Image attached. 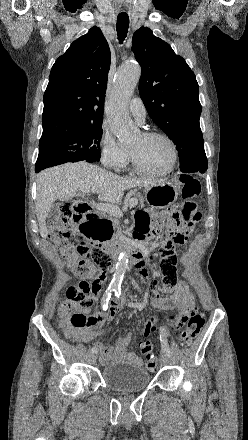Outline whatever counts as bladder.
Returning a JSON list of instances; mask_svg holds the SVG:
<instances>
[{
    "mask_svg": "<svg viewBox=\"0 0 248 440\" xmlns=\"http://www.w3.org/2000/svg\"><path fill=\"white\" fill-rule=\"evenodd\" d=\"M101 378L108 388L120 392L142 390L151 381L147 368L126 360L105 365L101 370Z\"/></svg>",
    "mask_w": 248,
    "mask_h": 440,
    "instance_id": "1",
    "label": "bladder"
}]
</instances>
